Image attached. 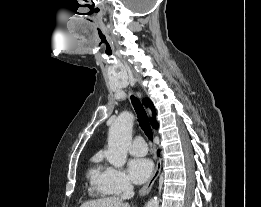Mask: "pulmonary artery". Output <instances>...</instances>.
I'll list each match as a JSON object with an SVG mask.
<instances>
[{"label":"pulmonary artery","instance_id":"1","mask_svg":"<svg viewBox=\"0 0 261 207\" xmlns=\"http://www.w3.org/2000/svg\"><path fill=\"white\" fill-rule=\"evenodd\" d=\"M129 152L134 156H144L147 153V146L145 140L141 136L135 137Z\"/></svg>","mask_w":261,"mask_h":207}]
</instances>
